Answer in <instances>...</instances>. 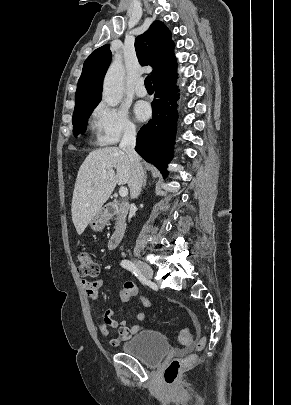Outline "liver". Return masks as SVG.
<instances>
[{
  "label": "liver",
  "mask_w": 291,
  "mask_h": 405,
  "mask_svg": "<svg viewBox=\"0 0 291 405\" xmlns=\"http://www.w3.org/2000/svg\"><path fill=\"white\" fill-rule=\"evenodd\" d=\"M130 175L129 157L118 147L100 148L89 153L79 168L71 205L72 221L79 235L108 200L116 185L128 183Z\"/></svg>",
  "instance_id": "1"
}]
</instances>
